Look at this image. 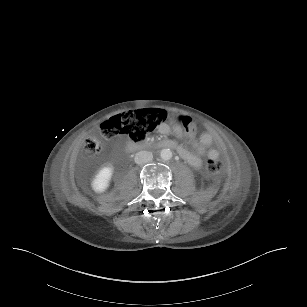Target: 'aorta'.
<instances>
[{
	"label": "aorta",
	"instance_id": "aorta-1",
	"mask_svg": "<svg viewBox=\"0 0 307 307\" xmlns=\"http://www.w3.org/2000/svg\"><path fill=\"white\" fill-rule=\"evenodd\" d=\"M160 157L164 161L171 160L173 157V153L170 149H162L160 152Z\"/></svg>",
	"mask_w": 307,
	"mask_h": 307
}]
</instances>
